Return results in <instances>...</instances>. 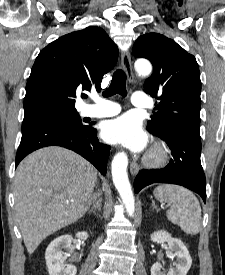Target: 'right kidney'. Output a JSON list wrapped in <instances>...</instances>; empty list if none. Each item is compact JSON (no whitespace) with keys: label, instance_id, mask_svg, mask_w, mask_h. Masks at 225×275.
Wrapping results in <instances>:
<instances>
[{"label":"right kidney","instance_id":"ca27d5eb","mask_svg":"<svg viewBox=\"0 0 225 275\" xmlns=\"http://www.w3.org/2000/svg\"><path fill=\"white\" fill-rule=\"evenodd\" d=\"M76 237L79 240L88 238L87 232H78ZM73 237L70 235H62L54 239L47 247L45 252L46 265L49 275H76L77 268L72 265H64L63 249L71 246Z\"/></svg>","mask_w":225,"mask_h":275}]
</instances>
